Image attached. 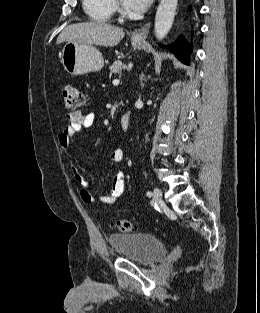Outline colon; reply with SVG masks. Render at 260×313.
Here are the masks:
<instances>
[{
	"label": "colon",
	"instance_id": "5ec220e1",
	"mask_svg": "<svg viewBox=\"0 0 260 313\" xmlns=\"http://www.w3.org/2000/svg\"><path fill=\"white\" fill-rule=\"evenodd\" d=\"M62 95L64 107L67 110L75 111L85 105V97L78 87L71 83H66L62 87ZM113 226L121 233H130L135 230V225L132 221L117 219L113 222Z\"/></svg>",
	"mask_w": 260,
	"mask_h": 313
}]
</instances>
